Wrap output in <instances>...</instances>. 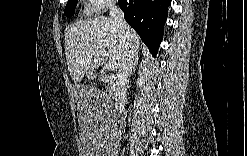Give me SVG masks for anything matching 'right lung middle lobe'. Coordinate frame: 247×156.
<instances>
[{
    "mask_svg": "<svg viewBox=\"0 0 247 156\" xmlns=\"http://www.w3.org/2000/svg\"><path fill=\"white\" fill-rule=\"evenodd\" d=\"M77 0H71L67 2V5L65 7L64 14L66 17H70L74 15L75 13V6H76Z\"/></svg>",
    "mask_w": 247,
    "mask_h": 156,
    "instance_id": "dd1d6c3e",
    "label": "right lung middle lobe"
}]
</instances>
